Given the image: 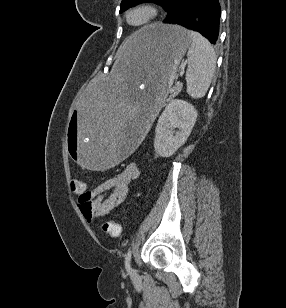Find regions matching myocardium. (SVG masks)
<instances>
[{"mask_svg": "<svg viewBox=\"0 0 286 308\" xmlns=\"http://www.w3.org/2000/svg\"><path fill=\"white\" fill-rule=\"evenodd\" d=\"M138 10H144L148 13L147 18L145 19V21H143L142 23L139 24H133L130 22V15ZM159 14L158 8L155 4L151 3V2H143L140 4H137L136 6H133L132 8H130L127 13H126V21L130 26L136 27V28H142L145 26H148L149 24H151L153 21H155V19L157 18Z\"/></svg>", "mask_w": 286, "mask_h": 308, "instance_id": "myocardium-1", "label": "myocardium"}]
</instances>
